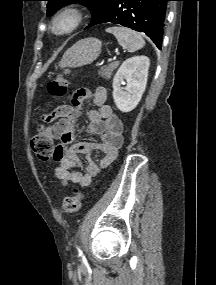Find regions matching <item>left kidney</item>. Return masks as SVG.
Masks as SVG:
<instances>
[{"mask_svg": "<svg viewBox=\"0 0 216 285\" xmlns=\"http://www.w3.org/2000/svg\"><path fill=\"white\" fill-rule=\"evenodd\" d=\"M150 60L146 56H135L122 63L113 79V99L117 108L130 112L138 105L145 91ZM127 85L125 88L122 85Z\"/></svg>", "mask_w": 216, "mask_h": 285, "instance_id": "obj_1", "label": "left kidney"}]
</instances>
